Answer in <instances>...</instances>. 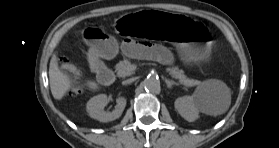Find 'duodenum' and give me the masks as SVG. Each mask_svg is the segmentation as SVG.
Wrapping results in <instances>:
<instances>
[{
  "label": "duodenum",
  "mask_w": 279,
  "mask_h": 148,
  "mask_svg": "<svg viewBox=\"0 0 279 148\" xmlns=\"http://www.w3.org/2000/svg\"><path fill=\"white\" fill-rule=\"evenodd\" d=\"M91 68L101 82L110 84L113 81V73L107 68L103 60L94 58L91 60Z\"/></svg>",
  "instance_id": "410a0bca"
}]
</instances>
